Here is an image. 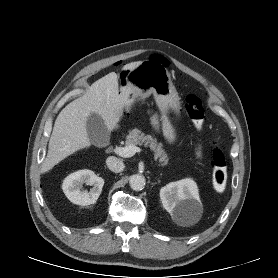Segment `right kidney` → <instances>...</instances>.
Listing matches in <instances>:
<instances>
[{"label":"right kidney","mask_w":278,"mask_h":278,"mask_svg":"<svg viewBox=\"0 0 278 278\" xmlns=\"http://www.w3.org/2000/svg\"><path fill=\"white\" fill-rule=\"evenodd\" d=\"M92 185L88 191H81L83 184ZM104 179L98 177L91 170H79L67 176L63 182L62 189L66 197L74 204L86 206L96 203L101 194Z\"/></svg>","instance_id":"1"}]
</instances>
